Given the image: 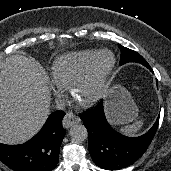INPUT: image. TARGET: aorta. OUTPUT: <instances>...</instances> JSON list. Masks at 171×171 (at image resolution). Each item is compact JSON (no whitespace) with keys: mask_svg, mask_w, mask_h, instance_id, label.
<instances>
[{"mask_svg":"<svg viewBox=\"0 0 171 171\" xmlns=\"http://www.w3.org/2000/svg\"><path fill=\"white\" fill-rule=\"evenodd\" d=\"M73 141L82 142L88 137L87 128L83 124H74L69 131Z\"/></svg>","mask_w":171,"mask_h":171,"instance_id":"obj_1","label":"aorta"}]
</instances>
